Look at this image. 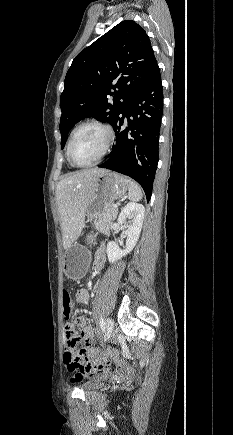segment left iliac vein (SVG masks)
<instances>
[{
    "label": "left iliac vein",
    "mask_w": 233,
    "mask_h": 435,
    "mask_svg": "<svg viewBox=\"0 0 233 435\" xmlns=\"http://www.w3.org/2000/svg\"><path fill=\"white\" fill-rule=\"evenodd\" d=\"M114 331V322L111 318H108L106 320V328H105V337L106 339H109Z\"/></svg>",
    "instance_id": "left-iliac-vein-1"
}]
</instances>
